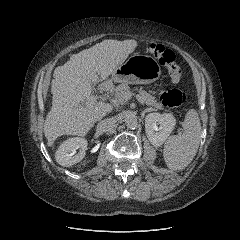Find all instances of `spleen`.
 Wrapping results in <instances>:
<instances>
[{
    "instance_id": "3e777b00",
    "label": "spleen",
    "mask_w": 240,
    "mask_h": 240,
    "mask_svg": "<svg viewBox=\"0 0 240 240\" xmlns=\"http://www.w3.org/2000/svg\"><path fill=\"white\" fill-rule=\"evenodd\" d=\"M201 138V123L198 113L190 109L183 122V133L173 135L165 143L163 156L171 170H182L194 159Z\"/></svg>"
}]
</instances>
